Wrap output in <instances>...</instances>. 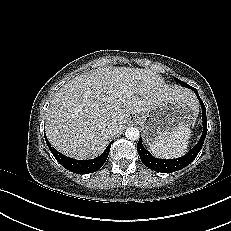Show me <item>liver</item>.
I'll list each match as a JSON object with an SVG mask.
<instances>
[{
  "mask_svg": "<svg viewBox=\"0 0 231 231\" xmlns=\"http://www.w3.org/2000/svg\"><path fill=\"white\" fill-rule=\"evenodd\" d=\"M192 103V95L169 87L149 69L105 67L77 76L54 95L46 114V135L59 152L86 160L100 155L130 114L146 113L163 101ZM117 127L112 134L109 126Z\"/></svg>",
  "mask_w": 231,
  "mask_h": 231,
  "instance_id": "6515ba94",
  "label": "liver"
}]
</instances>
